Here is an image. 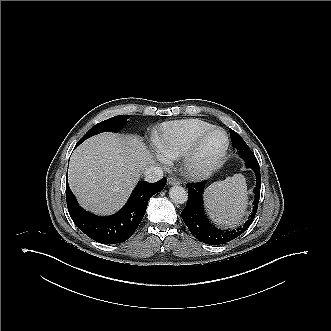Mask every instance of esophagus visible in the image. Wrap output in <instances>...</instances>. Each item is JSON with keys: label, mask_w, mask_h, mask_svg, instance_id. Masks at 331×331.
<instances>
[{"label": "esophagus", "mask_w": 331, "mask_h": 331, "mask_svg": "<svg viewBox=\"0 0 331 331\" xmlns=\"http://www.w3.org/2000/svg\"><path fill=\"white\" fill-rule=\"evenodd\" d=\"M167 184L168 185H179L180 184V181L177 178H175V177H169L167 179Z\"/></svg>", "instance_id": "34e87169"}]
</instances>
